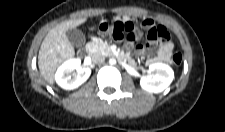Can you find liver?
I'll use <instances>...</instances> for the list:
<instances>
[{"mask_svg": "<svg viewBox=\"0 0 225 132\" xmlns=\"http://www.w3.org/2000/svg\"><path fill=\"white\" fill-rule=\"evenodd\" d=\"M86 21L87 18L82 17L62 22L52 28L44 38L38 54V67L41 76L47 83L52 85L58 66L75 55L74 47L69 42L66 32Z\"/></svg>", "mask_w": 225, "mask_h": 132, "instance_id": "1", "label": "liver"}]
</instances>
